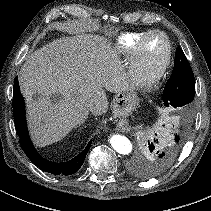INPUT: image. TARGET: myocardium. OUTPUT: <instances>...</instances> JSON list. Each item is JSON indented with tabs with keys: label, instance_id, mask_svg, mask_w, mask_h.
<instances>
[{
	"label": "myocardium",
	"instance_id": "myocardium-1",
	"mask_svg": "<svg viewBox=\"0 0 211 211\" xmlns=\"http://www.w3.org/2000/svg\"><path fill=\"white\" fill-rule=\"evenodd\" d=\"M162 36L166 42V53L161 64L149 75H142L141 73V53L145 42L151 36ZM172 58V44L169 37L162 31L153 30L143 35L136 43L133 51V56L130 63V79L132 84L139 89L149 90L153 88L166 73Z\"/></svg>",
	"mask_w": 211,
	"mask_h": 211
}]
</instances>
